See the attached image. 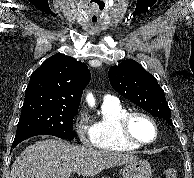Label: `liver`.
Segmentation results:
<instances>
[{
	"instance_id": "liver-1",
	"label": "liver",
	"mask_w": 194,
	"mask_h": 178,
	"mask_svg": "<svg viewBox=\"0 0 194 178\" xmlns=\"http://www.w3.org/2000/svg\"><path fill=\"white\" fill-rule=\"evenodd\" d=\"M138 158L131 154L101 151L70 145L66 141L46 139L26 147L15 160L10 178H60L77 173L91 177L102 170L120 166Z\"/></svg>"
}]
</instances>
